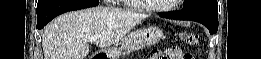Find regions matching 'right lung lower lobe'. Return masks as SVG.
<instances>
[{"label": "right lung lower lobe", "mask_w": 261, "mask_h": 59, "mask_svg": "<svg viewBox=\"0 0 261 59\" xmlns=\"http://www.w3.org/2000/svg\"><path fill=\"white\" fill-rule=\"evenodd\" d=\"M99 0H55L37 11V28L42 29L49 21L67 11L94 7Z\"/></svg>", "instance_id": "obj_1"}]
</instances>
